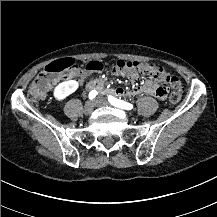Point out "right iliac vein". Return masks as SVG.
Wrapping results in <instances>:
<instances>
[{"label":"right iliac vein","mask_w":217,"mask_h":217,"mask_svg":"<svg viewBox=\"0 0 217 217\" xmlns=\"http://www.w3.org/2000/svg\"><path fill=\"white\" fill-rule=\"evenodd\" d=\"M94 106H95L94 101H92V100L87 101L85 106H84V113L86 115L91 114L94 110Z\"/></svg>","instance_id":"obj_1"}]
</instances>
